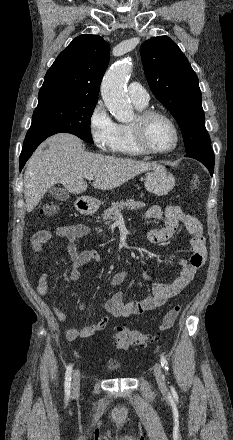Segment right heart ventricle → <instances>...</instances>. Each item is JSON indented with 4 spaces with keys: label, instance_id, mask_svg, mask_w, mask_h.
<instances>
[{
    "label": "right heart ventricle",
    "instance_id": "obj_1",
    "mask_svg": "<svg viewBox=\"0 0 233 440\" xmlns=\"http://www.w3.org/2000/svg\"><path fill=\"white\" fill-rule=\"evenodd\" d=\"M136 106L139 110L145 109V106ZM115 153L118 155L131 157L141 156L144 154L137 147L129 124H119V138Z\"/></svg>",
    "mask_w": 233,
    "mask_h": 440
}]
</instances>
